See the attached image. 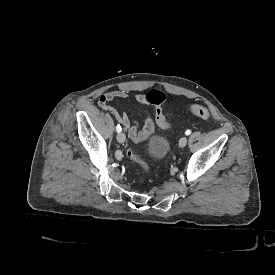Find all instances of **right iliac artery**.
Masks as SVG:
<instances>
[{"label": "right iliac artery", "instance_id": "82829eb1", "mask_svg": "<svg viewBox=\"0 0 275 275\" xmlns=\"http://www.w3.org/2000/svg\"><path fill=\"white\" fill-rule=\"evenodd\" d=\"M121 130H122V128H121V126L118 124V125L116 126V131L119 133V132H121Z\"/></svg>", "mask_w": 275, "mask_h": 275}]
</instances>
